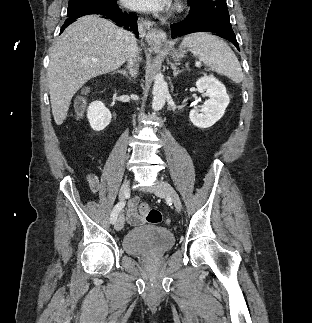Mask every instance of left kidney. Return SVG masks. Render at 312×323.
I'll return each instance as SVG.
<instances>
[{"label":"left kidney","instance_id":"left-kidney-1","mask_svg":"<svg viewBox=\"0 0 312 323\" xmlns=\"http://www.w3.org/2000/svg\"><path fill=\"white\" fill-rule=\"evenodd\" d=\"M196 88L201 94L205 92V96H209L210 100H206L203 106H196L191 110L189 118L197 128H210L222 118L230 98L225 86L214 76H202L197 80Z\"/></svg>","mask_w":312,"mask_h":323}]
</instances>
